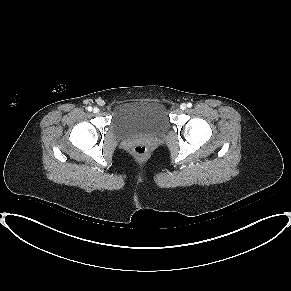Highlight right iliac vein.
<instances>
[{"label": "right iliac vein", "mask_w": 291, "mask_h": 291, "mask_svg": "<svg viewBox=\"0 0 291 291\" xmlns=\"http://www.w3.org/2000/svg\"><path fill=\"white\" fill-rule=\"evenodd\" d=\"M93 112H94V113H98V112H99V109H98L97 107H95V108L93 109Z\"/></svg>", "instance_id": "obj_1"}]
</instances>
